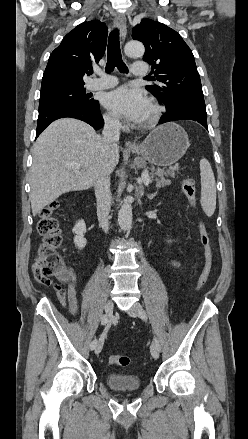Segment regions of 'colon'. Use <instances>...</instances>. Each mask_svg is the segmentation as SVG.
<instances>
[{
  "mask_svg": "<svg viewBox=\"0 0 248 439\" xmlns=\"http://www.w3.org/2000/svg\"><path fill=\"white\" fill-rule=\"evenodd\" d=\"M182 189L191 205H196V185L192 178H185L182 182ZM58 203L52 202L42 209L37 225L39 234L42 237L37 249L36 264L39 266L41 276L49 284L59 285L68 280L64 261L57 249L62 243L59 223L54 217V211ZM200 238L204 249L205 263L199 277L196 291H199L206 284L212 266V248L210 239L203 223H200ZM110 364L128 366L131 362L128 356L111 355L108 358Z\"/></svg>",
  "mask_w": 248,
  "mask_h": 439,
  "instance_id": "5ec220e1",
  "label": "colon"
}]
</instances>
